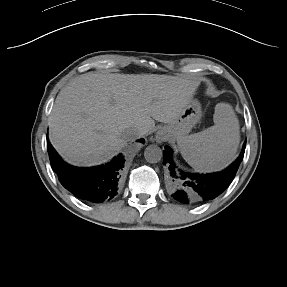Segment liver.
<instances>
[{
	"label": "liver",
	"instance_id": "obj_1",
	"mask_svg": "<svg viewBox=\"0 0 287 287\" xmlns=\"http://www.w3.org/2000/svg\"><path fill=\"white\" fill-rule=\"evenodd\" d=\"M199 82L167 75L88 72L57 95L49 117V138L75 166L108 162L126 145L128 128L151 133L155 121L178 119Z\"/></svg>",
	"mask_w": 287,
	"mask_h": 287
}]
</instances>
